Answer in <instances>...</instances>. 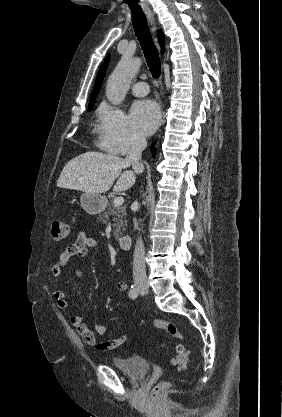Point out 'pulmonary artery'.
Here are the masks:
<instances>
[{"instance_id": "pulmonary-artery-1", "label": "pulmonary artery", "mask_w": 282, "mask_h": 417, "mask_svg": "<svg viewBox=\"0 0 282 417\" xmlns=\"http://www.w3.org/2000/svg\"><path fill=\"white\" fill-rule=\"evenodd\" d=\"M131 91L135 96H145L149 92V86L145 82H138L132 85Z\"/></svg>"}]
</instances>
